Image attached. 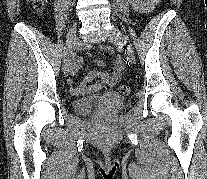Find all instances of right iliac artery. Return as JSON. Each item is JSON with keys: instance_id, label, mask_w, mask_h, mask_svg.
<instances>
[{"instance_id": "1", "label": "right iliac artery", "mask_w": 207, "mask_h": 179, "mask_svg": "<svg viewBox=\"0 0 207 179\" xmlns=\"http://www.w3.org/2000/svg\"><path fill=\"white\" fill-rule=\"evenodd\" d=\"M65 57H66V53H65V51H64V59H65Z\"/></svg>"}]
</instances>
